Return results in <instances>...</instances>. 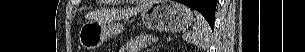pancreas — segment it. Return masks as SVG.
<instances>
[{"instance_id": "cf45deb5", "label": "pancreas", "mask_w": 305, "mask_h": 52, "mask_svg": "<svg viewBox=\"0 0 305 52\" xmlns=\"http://www.w3.org/2000/svg\"><path fill=\"white\" fill-rule=\"evenodd\" d=\"M151 35H138L132 37L127 41L125 47H123L127 52H141L142 49H145L152 44Z\"/></svg>"}]
</instances>
